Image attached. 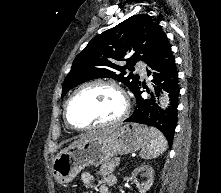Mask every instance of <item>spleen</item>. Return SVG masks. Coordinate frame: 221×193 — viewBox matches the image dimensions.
<instances>
[{"label":"spleen","instance_id":"1","mask_svg":"<svg viewBox=\"0 0 221 193\" xmlns=\"http://www.w3.org/2000/svg\"><path fill=\"white\" fill-rule=\"evenodd\" d=\"M167 150V141L164 135L156 128H150V143L141 150L143 159H152L160 156Z\"/></svg>","mask_w":221,"mask_h":193}]
</instances>
